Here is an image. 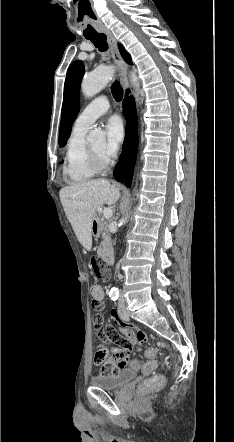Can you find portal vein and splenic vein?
Returning a JSON list of instances; mask_svg holds the SVG:
<instances>
[{"label": "portal vein and splenic vein", "instance_id": "18ae733b", "mask_svg": "<svg viewBox=\"0 0 234 442\" xmlns=\"http://www.w3.org/2000/svg\"><path fill=\"white\" fill-rule=\"evenodd\" d=\"M112 215H113V211H112L111 208H105V209L103 210V217H104V218L109 219V218L112 217Z\"/></svg>", "mask_w": 234, "mask_h": 442}]
</instances>
